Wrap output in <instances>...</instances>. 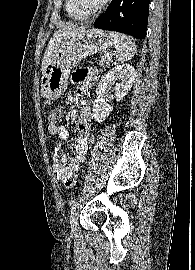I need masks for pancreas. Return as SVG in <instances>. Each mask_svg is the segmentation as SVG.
Listing matches in <instances>:
<instances>
[{"mask_svg": "<svg viewBox=\"0 0 195 270\" xmlns=\"http://www.w3.org/2000/svg\"><path fill=\"white\" fill-rule=\"evenodd\" d=\"M100 64L104 65V64H109L112 62L111 58H108L107 55H104L100 58Z\"/></svg>", "mask_w": 195, "mask_h": 270, "instance_id": "1", "label": "pancreas"}]
</instances>
